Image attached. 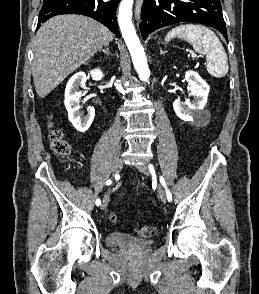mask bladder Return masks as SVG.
<instances>
[{
	"mask_svg": "<svg viewBox=\"0 0 259 294\" xmlns=\"http://www.w3.org/2000/svg\"><path fill=\"white\" fill-rule=\"evenodd\" d=\"M106 243L109 246L117 247H140L150 243V240L134 237L122 232H111L106 236Z\"/></svg>",
	"mask_w": 259,
	"mask_h": 294,
	"instance_id": "bladder-1",
	"label": "bladder"
}]
</instances>
